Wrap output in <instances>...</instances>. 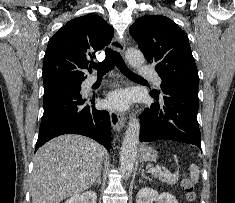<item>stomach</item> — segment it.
Returning <instances> with one entry per match:
<instances>
[{
	"instance_id": "1",
	"label": "stomach",
	"mask_w": 235,
	"mask_h": 203,
	"mask_svg": "<svg viewBox=\"0 0 235 203\" xmlns=\"http://www.w3.org/2000/svg\"><path fill=\"white\" fill-rule=\"evenodd\" d=\"M140 157L144 161H152L157 158V152L150 146H144L141 148Z\"/></svg>"
}]
</instances>
